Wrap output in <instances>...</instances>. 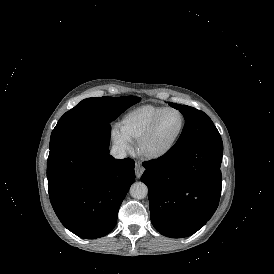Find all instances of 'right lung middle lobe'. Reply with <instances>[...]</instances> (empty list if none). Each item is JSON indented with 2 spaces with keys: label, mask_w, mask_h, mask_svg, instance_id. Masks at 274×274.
Segmentation results:
<instances>
[{
  "label": "right lung middle lobe",
  "mask_w": 274,
  "mask_h": 274,
  "mask_svg": "<svg viewBox=\"0 0 274 274\" xmlns=\"http://www.w3.org/2000/svg\"><path fill=\"white\" fill-rule=\"evenodd\" d=\"M140 100L135 96L120 98L104 96L82 100L58 121L51 134L50 149L93 126L110 123Z\"/></svg>",
  "instance_id": "1"
}]
</instances>
